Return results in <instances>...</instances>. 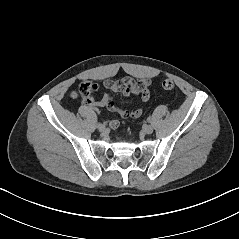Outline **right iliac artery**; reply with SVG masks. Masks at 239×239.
<instances>
[{"label": "right iliac artery", "instance_id": "obj_1", "mask_svg": "<svg viewBox=\"0 0 239 239\" xmlns=\"http://www.w3.org/2000/svg\"><path fill=\"white\" fill-rule=\"evenodd\" d=\"M101 125H102L101 123H97V125H96V126H97V127H99V126H101Z\"/></svg>", "mask_w": 239, "mask_h": 239}]
</instances>
